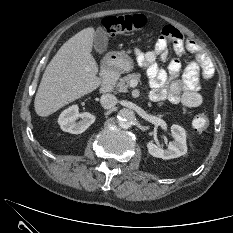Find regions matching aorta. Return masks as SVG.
Segmentation results:
<instances>
[{
    "label": "aorta",
    "instance_id": "762f6f07",
    "mask_svg": "<svg viewBox=\"0 0 233 233\" xmlns=\"http://www.w3.org/2000/svg\"><path fill=\"white\" fill-rule=\"evenodd\" d=\"M118 124L121 128L128 129L135 120V113L128 108H123L117 115Z\"/></svg>",
    "mask_w": 233,
    "mask_h": 233
}]
</instances>
